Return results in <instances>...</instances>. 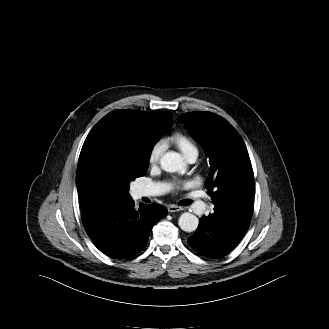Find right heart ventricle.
Listing matches in <instances>:
<instances>
[{"instance_id": "e07e8e85", "label": "right heart ventricle", "mask_w": 329, "mask_h": 329, "mask_svg": "<svg viewBox=\"0 0 329 329\" xmlns=\"http://www.w3.org/2000/svg\"><path fill=\"white\" fill-rule=\"evenodd\" d=\"M168 140L174 144L187 159L193 154H198L195 143L183 133L176 132L172 134Z\"/></svg>"}]
</instances>
